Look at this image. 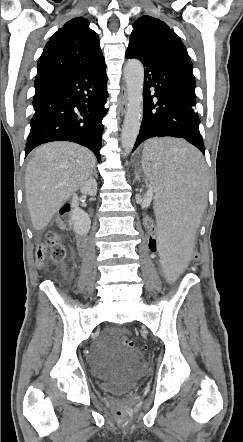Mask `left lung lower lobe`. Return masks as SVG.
Returning a JSON list of instances; mask_svg holds the SVG:
<instances>
[{
	"mask_svg": "<svg viewBox=\"0 0 243 442\" xmlns=\"http://www.w3.org/2000/svg\"><path fill=\"white\" fill-rule=\"evenodd\" d=\"M126 58L144 65L143 119L133 151L152 137L184 138L203 154L204 143L195 112V77L192 67L139 52L129 46Z\"/></svg>",
	"mask_w": 243,
	"mask_h": 442,
	"instance_id": "0a47b994",
	"label": "left lung lower lobe"
}]
</instances>
